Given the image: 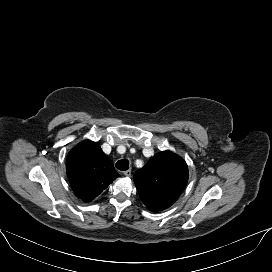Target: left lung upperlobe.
Masks as SVG:
<instances>
[{
  "label": "left lung upper lobe",
  "instance_id": "obj_1",
  "mask_svg": "<svg viewBox=\"0 0 272 272\" xmlns=\"http://www.w3.org/2000/svg\"><path fill=\"white\" fill-rule=\"evenodd\" d=\"M187 181L186 162L171 151L156 154L134 175L142 202L154 212L169 208L183 192Z\"/></svg>",
  "mask_w": 272,
  "mask_h": 272
}]
</instances>
